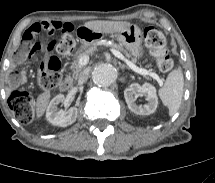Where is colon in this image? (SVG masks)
Wrapping results in <instances>:
<instances>
[{
  "label": "colon",
  "instance_id": "5ec220e1",
  "mask_svg": "<svg viewBox=\"0 0 215 183\" xmlns=\"http://www.w3.org/2000/svg\"><path fill=\"white\" fill-rule=\"evenodd\" d=\"M144 42L146 47L155 57L157 66L163 72H168L173 68L174 62L171 53L166 48V40L160 30L155 27H147L144 30ZM21 57L26 58L36 51L53 52L67 54L74 47V39L70 29L62 30L61 33L50 39L46 45L33 39L27 43L22 42ZM38 79L44 89H55L61 79L60 62L55 54H50L43 59L38 68ZM9 106L17 119L23 123L31 122L34 117V101L25 90L13 92L9 97Z\"/></svg>",
  "mask_w": 215,
  "mask_h": 183
}]
</instances>
